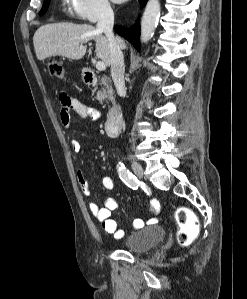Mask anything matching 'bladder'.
I'll return each mask as SVG.
<instances>
[{
    "label": "bladder",
    "mask_w": 247,
    "mask_h": 299,
    "mask_svg": "<svg viewBox=\"0 0 247 299\" xmlns=\"http://www.w3.org/2000/svg\"><path fill=\"white\" fill-rule=\"evenodd\" d=\"M164 236L165 231L163 227L160 225H152L127 236L123 240L122 246L130 252L142 253L158 245Z\"/></svg>",
    "instance_id": "31cf9c89"
}]
</instances>
